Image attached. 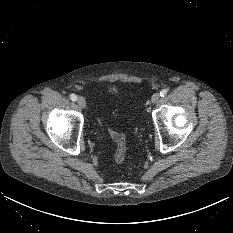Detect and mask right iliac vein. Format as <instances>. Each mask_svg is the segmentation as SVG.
Here are the masks:
<instances>
[{
	"label": "right iliac vein",
	"instance_id": "63e3f726",
	"mask_svg": "<svg viewBox=\"0 0 233 233\" xmlns=\"http://www.w3.org/2000/svg\"><path fill=\"white\" fill-rule=\"evenodd\" d=\"M77 103H78V106L81 108V109H84L86 107V101L84 99V97L82 96H79L77 98Z\"/></svg>",
	"mask_w": 233,
	"mask_h": 233
}]
</instances>
